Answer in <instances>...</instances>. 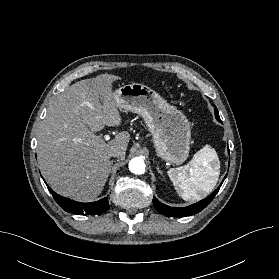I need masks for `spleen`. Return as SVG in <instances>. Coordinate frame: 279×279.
Segmentation results:
<instances>
[{
    "label": "spleen",
    "mask_w": 279,
    "mask_h": 279,
    "mask_svg": "<svg viewBox=\"0 0 279 279\" xmlns=\"http://www.w3.org/2000/svg\"><path fill=\"white\" fill-rule=\"evenodd\" d=\"M220 161L214 148L205 145L185 166L168 170V176L179 196L199 200L210 193L218 182Z\"/></svg>",
    "instance_id": "spleen-1"
}]
</instances>
